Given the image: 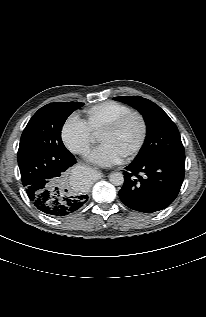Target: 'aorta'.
I'll return each instance as SVG.
<instances>
[{"label": "aorta", "mask_w": 206, "mask_h": 317, "mask_svg": "<svg viewBox=\"0 0 206 317\" xmlns=\"http://www.w3.org/2000/svg\"><path fill=\"white\" fill-rule=\"evenodd\" d=\"M110 182L115 186H120L124 183V175L121 172H113L109 176Z\"/></svg>", "instance_id": "762f6f07"}]
</instances>
